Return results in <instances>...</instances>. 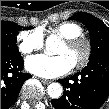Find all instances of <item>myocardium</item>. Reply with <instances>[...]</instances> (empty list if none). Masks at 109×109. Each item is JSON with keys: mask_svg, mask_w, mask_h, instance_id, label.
<instances>
[{"mask_svg": "<svg viewBox=\"0 0 109 109\" xmlns=\"http://www.w3.org/2000/svg\"><path fill=\"white\" fill-rule=\"evenodd\" d=\"M64 43L68 46V47H74L78 44H83L85 47V52L83 57L81 58V60L76 63L73 67L76 69H82L83 67H85L92 56V42L91 40L85 36L84 34H80V35H76L70 38H66L64 39Z\"/></svg>", "mask_w": 109, "mask_h": 109, "instance_id": "obj_1", "label": "myocardium"}]
</instances>
